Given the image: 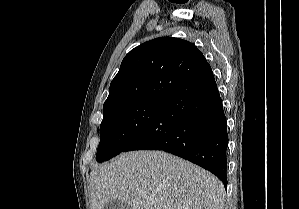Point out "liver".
<instances>
[{"instance_id": "obj_1", "label": "liver", "mask_w": 299, "mask_h": 209, "mask_svg": "<svg viewBox=\"0 0 299 209\" xmlns=\"http://www.w3.org/2000/svg\"><path fill=\"white\" fill-rule=\"evenodd\" d=\"M91 209L123 200L131 209H224L221 181L163 151H132L90 173Z\"/></svg>"}]
</instances>
